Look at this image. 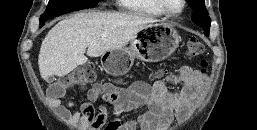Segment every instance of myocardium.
<instances>
[{
	"label": "myocardium",
	"instance_id": "obj_1",
	"mask_svg": "<svg viewBox=\"0 0 257 130\" xmlns=\"http://www.w3.org/2000/svg\"><path fill=\"white\" fill-rule=\"evenodd\" d=\"M156 4L158 5V7L167 15L170 16H177L179 14H181L185 7H186V0H181V8L178 11H173L171 9H169L167 7V5L165 4L164 0H155Z\"/></svg>",
	"mask_w": 257,
	"mask_h": 130
}]
</instances>
